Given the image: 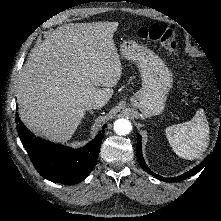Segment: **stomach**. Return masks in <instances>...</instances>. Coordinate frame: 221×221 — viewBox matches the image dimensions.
I'll return each mask as SVG.
<instances>
[{"instance_id":"stomach-1","label":"stomach","mask_w":221,"mask_h":221,"mask_svg":"<svg viewBox=\"0 0 221 221\" xmlns=\"http://www.w3.org/2000/svg\"><path fill=\"white\" fill-rule=\"evenodd\" d=\"M120 52L134 62L141 73L142 87L131 98V105L139 109L144 118L161 114L173 84L172 73L153 51L135 41H124Z\"/></svg>"}]
</instances>
